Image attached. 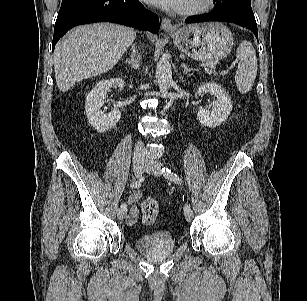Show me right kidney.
<instances>
[{"mask_svg": "<svg viewBox=\"0 0 307 301\" xmlns=\"http://www.w3.org/2000/svg\"><path fill=\"white\" fill-rule=\"evenodd\" d=\"M116 84L120 91L125 82L121 78L102 80L89 92L85 101V112L89 124L99 132H105L113 128L121 118V112L117 109L109 113L102 110L104 96L110 87Z\"/></svg>", "mask_w": 307, "mask_h": 301, "instance_id": "1", "label": "right kidney"}]
</instances>
